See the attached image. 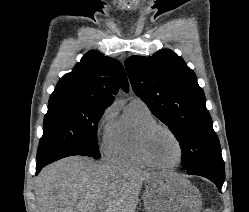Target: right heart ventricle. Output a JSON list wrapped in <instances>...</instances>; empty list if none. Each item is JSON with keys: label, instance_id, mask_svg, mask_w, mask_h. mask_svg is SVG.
Listing matches in <instances>:
<instances>
[{"label": "right heart ventricle", "instance_id": "e07e8e85", "mask_svg": "<svg viewBox=\"0 0 249 212\" xmlns=\"http://www.w3.org/2000/svg\"><path fill=\"white\" fill-rule=\"evenodd\" d=\"M152 123H157L156 118L145 103L129 102L123 114L109 125L106 156L124 165L151 167L142 156L139 139L143 129Z\"/></svg>", "mask_w": 249, "mask_h": 212}]
</instances>
